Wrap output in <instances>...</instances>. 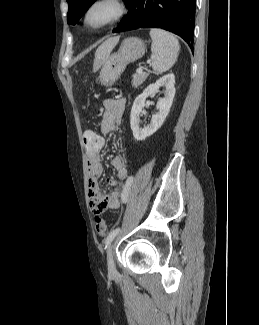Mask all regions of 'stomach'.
I'll use <instances>...</instances> for the list:
<instances>
[{
  "label": "stomach",
  "instance_id": "1",
  "mask_svg": "<svg viewBox=\"0 0 259 325\" xmlns=\"http://www.w3.org/2000/svg\"><path fill=\"white\" fill-rule=\"evenodd\" d=\"M145 53V43L138 37L124 39L119 50L106 59L100 71L103 86H112L125 70L126 66L140 59Z\"/></svg>",
  "mask_w": 259,
  "mask_h": 325
}]
</instances>
